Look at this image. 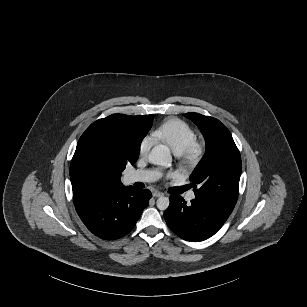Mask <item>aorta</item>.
Returning <instances> with one entry per match:
<instances>
[{"instance_id":"aorta-1","label":"aorta","mask_w":307,"mask_h":307,"mask_svg":"<svg viewBox=\"0 0 307 307\" xmlns=\"http://www.w3.org/2000/svg\"><path fill=\"white\" fill-rule=\"evenodd\" d=\"M149 162L162 167H167L172 164V156L170 148L167 145H156L149 154ZM169 198L160 196L157 199L156 205L160 210H166L169 206Z\"/></svg>"}]
</instances>
